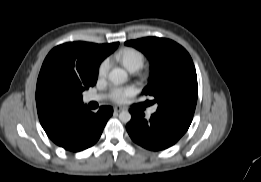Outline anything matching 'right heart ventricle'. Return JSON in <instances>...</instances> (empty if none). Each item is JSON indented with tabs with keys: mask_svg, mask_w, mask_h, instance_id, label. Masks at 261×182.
Listing matches in <instances>:
<instances>
[{
	"mask_svg": "<svg viewBox=\"0 0 261 182\" xmlns=\"http://www.w3.org/2000/svg\"><path fill=\"white\" fill-rule=\"evenodd\" d=\"M119 60L126 69L133 72L142 67L144 55L137 49L126 48L120 52Z\"/></svg>",
	"mask_w": 261,
	"mask_h": 182,
	"instance_id": "e07e8e85",
	"label": "right heart ventricle"
}]
</instances>
